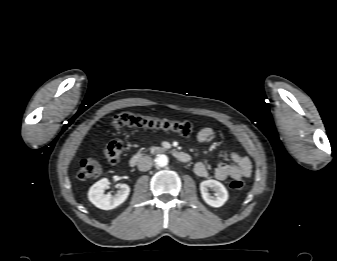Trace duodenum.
<instances>
[{"instance_id": "obj_1", "label": "duodenum", "mask_w": 337, "mask_h": 261, "mask_svg": "<svg viewBox=\"0 0 337 261\" xmlns=\"http://www.w3.org/2000/svg\"><path fill=\"white\" fill-rule=\"evenodd\" d=\"M174 156L177 160H179L182 163H187L190 161V155L185 153V152H181V151H176L174 152ZM142 155L141 154H135L130 158V166L135 167L136 165H138V163L142 160Z\"/></svg>"}]
</instances>
